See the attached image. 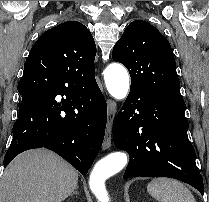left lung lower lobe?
<instances>
[{
  "instance_id": "obj_1",
  "label": "left lung lower lobe",
  "mask_w": 209,
  "mask_h": 202,
  "mask_svg": "<svg viewBox=\"0 0 209 202\" xmlns=\"http://www.w3.org/2000/svg\"><path fill=\"white\" fill-rule=\"evenodd\" d=\"M116 117L113 139L130 155L124 179L170 177L204 193L203 179L188 139L184 101L170 100L131 88Z\"/></svg>"
}]
</instances>
